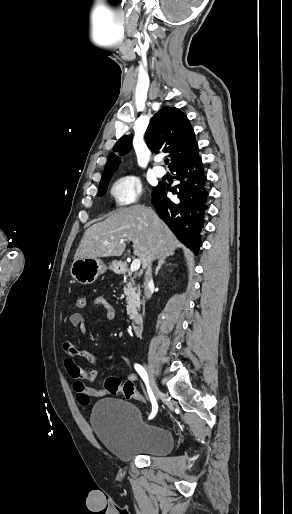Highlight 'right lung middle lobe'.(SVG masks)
<instances>
[{
    "label": "right lung middle lobe",
    "instance_id": "dd1d6c3e",
    "mask_svg": "<svg viewBox=\"0 0 292 514\" xmlns=\"http://www.w3.org/2000/svg\"><path fill=\"white\" fill-rule=\"evenodd\" d=\"M110 179L104 180L100 182L99 190H98V196H104L107 190L108 182Z\"/></svg>",
    "mask_w": 292,
    "mask_h": 514
}]
</instances>
